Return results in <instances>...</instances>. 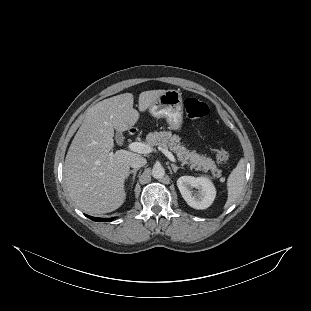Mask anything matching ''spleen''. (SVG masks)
Masks as SVG:
<instances>
[{
	"instance_id": "spleen-1",
	"label": "spleen",
	"mask_w": 311,
	"mask_h": 311,
	"mask_svg": "<svg viewBox=\"0 0 311 311\" xmlns=\"http://www.w3.org/2000/svg\"><path fill=\"white\" fill-rule=\"evenodd\" d=\"M245 166V159L241 157L227 178V201L224 205L225 209L235 203L242 193L245 184Z\"/></svg>"
}]
</instances>
